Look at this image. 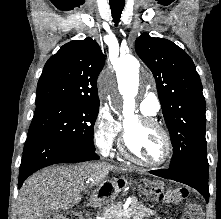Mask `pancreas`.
Wrapping results in <instances>:
<instances>
[{
	"mask_svg": "<svg viewBox=\"0 0 221 219\" xmlns=\"http://www.w3.org/2000/svg\"><path fill=\"white\" fill-rule=\"evenodd\" d=\"M124 211L119 206L106 208L101 219H142L155 214L153 210L146 208L136 198L132 199L129 208L126 210L127 212Z\"/></svg>",
	"mask_w": 221,
	"mask_h": 219,
	"instance_id": "1",
	"label": "pancreas"
}]
</instances>
